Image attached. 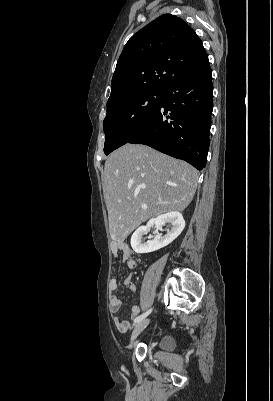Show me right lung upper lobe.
Here are the masks:
<instances>
[{"instance_id": "obj_1", "label": "right lung upper lobe", "mask_w": 273, "mask_h": 401, "mask_svg": "<svg viewBox=\"0 0 273 401\" xmlns=\"http://www.w3.org/2000/svg\"><path fill=\"white\" fill-rule=\"evenodd\" d=\"M207 63L208 56L195 31L181 18L164 14L124 46L107 105L142 91H164L181 76Z\"/></svg>"}]
</instances>
